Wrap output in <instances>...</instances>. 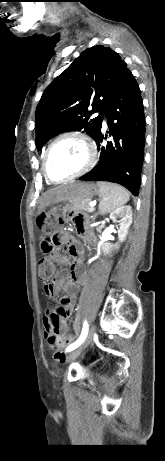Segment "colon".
Instances as JSON below:
<instances>
[{"instance_id": "colon-1", "label": "colon", "mask_w": 165, "mask_h": 461, "mask_svg": "<svg viewBox=\"0 0 165 461\" xmlns=\"http://www.w3.org/2000/svg\"><path fill=\"white\" fill-rule=\"evenodd\" d=\"M61 217L54 215V210L43 213L38 216L37 224L42 230L41 249L45 253H50L57 248L61 247L66 237L59 230L61 225ZM55 275V267L48 259H41L39 263V276L41 280L46 281ZM49 343L53 349H58L60 354L70 348L72 345L71 340H58L55 336L50 337Z\"/></svg>"}]
</instances>
